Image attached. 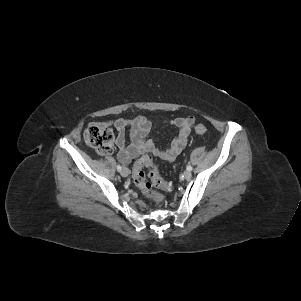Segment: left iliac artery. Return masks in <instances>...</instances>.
Here are the masks:
<instances>
[{
  "label": "left iliac artery",
  "mask_w": 301,
  "mask_h": 301,
  "mask_svg": "<svg viewBox=\"0 0 301 301\" xmlns=\"http://www.w3.org/2000/svg\"><path fill=\"white\" fill-rule=\"evenodd\" d=\"M192 169H193L192 166H190V165L187 166L188 171H192Z\"/></svg>",
  "instance_id": "44dca946"
}]
</instances>
